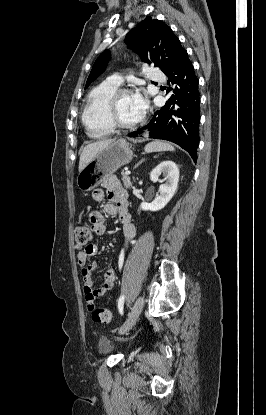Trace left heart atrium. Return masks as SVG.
I'll return each instance as SVG.
<instances>
[{"label":"left heart atrium","mask_w":266,"mask_h":415,"mask_svg":"<svg viewBox=\"0 0 266 415\" xmlns=\"http://www.w3.org/2000/svg\"><path fill=\"white\" fill-rule=\"evenodd\" d=\"M133 103L136 107V109L143 114L147 108V102L146 99L143 97V95L140 92H136L132 94Z\"/></svg>","instance_id":"left-heart-atrium-1"}]
</instances>
